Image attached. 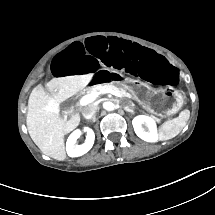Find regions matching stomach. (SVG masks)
Instances as JSON below:
<instances>
[{
  "label": "stomach",
  "mask_w": 215,
  "mask_h": 215,
  "mask_svg": "<svg viewBox=\"0 0 215 215\" xmlns=\"http://www.w3.org/2000/svg\"><path fill=\"white\" fill-rule=\"evenodd\" d=\"M123 88L133 99L155 114L171 115L183 104V98L178 91L168 94L166 89H153L136 81L125 82Z\"/></svg>",
  "instance_id": "obj_1"
}]
</instances>
